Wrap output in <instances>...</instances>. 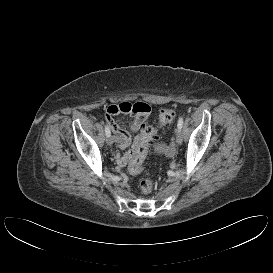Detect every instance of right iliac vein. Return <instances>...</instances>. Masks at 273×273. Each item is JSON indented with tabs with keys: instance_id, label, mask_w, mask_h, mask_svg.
I'll return each mask as SVG.
<instances>
[{
	"instance_id": "obj_1",
	"label": "right iliac vein",
	"mask_w": 273,
	"mask_h": 273,
	"mask_svg": "<svg viewBox=\"0 0 273 273\" xmlns=\"http://www.w3.org/2000/svg\"><path fill=\"white\" fill-rule=\"evenodd\" d=\"M106 143L109 145V146H112L113 145V138L111 136H107L106 138Z\"/></svg>"
}]
</instances>
